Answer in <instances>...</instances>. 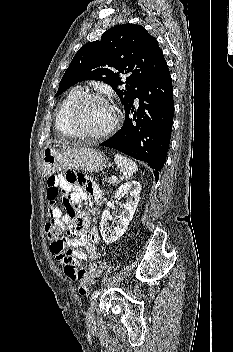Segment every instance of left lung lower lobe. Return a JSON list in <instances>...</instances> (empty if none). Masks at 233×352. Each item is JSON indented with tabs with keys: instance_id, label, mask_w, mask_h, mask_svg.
<instances>
[{
	"instance_id": "0a47b994",
	"label": "left lung lower lobe",
	"mask_w": 233,
	"mask_h": 352,
	"mask_svg": "<svg viewBox=\"0 0 233 352\" xmlns=\"http://www.w3.org/2000/svg\"><path fill=\"white\" fill-rule=\"evenodd\" d=\"M136 99L139 100L137 108L134 105ZM131 113H134L133 117ZM173 113V87L166 65L125 107L122 128L100 146L114 148L146 162L155 170L157 181L169 148Z\"/></svg>"
}]
</instances>
